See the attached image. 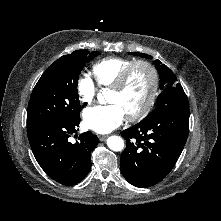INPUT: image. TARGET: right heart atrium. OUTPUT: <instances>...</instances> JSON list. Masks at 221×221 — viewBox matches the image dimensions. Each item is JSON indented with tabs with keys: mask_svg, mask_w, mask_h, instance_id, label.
Wrapping results in <instances>:
<instances>
[{
	"mask_svg": "<svg viewBox=\"0 0 221 221\" xmlns=\"http://www.w3.org/2000/svg\"><path fill=\"white\" fill-rule=\"evenodd\" d=\"M79 100L84 104H91L95 98L97 89L91 78L82 76L76 84Z\"/></svg>",
	"mask_w": 221,
	"mask_h": 221,
	"instance_id": "d8ad5b80",
	"label": "right heart atrium"
}]
</instances>
